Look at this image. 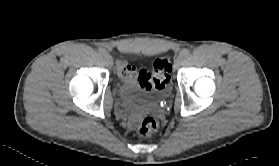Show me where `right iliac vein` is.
I'll return each instance as SVG.
<instances>
[{"label":"right iliac vein","mask_w":279,"mask_h":166,"mask_svg":"<svg viewBox=\"0 0 279 166\" xmlns=\"http://www.w3.org/2000/svg\"><path fill=\"white\" fill-rule=\"evenodd\" d=\"M104 59H105L107 66H109V67L113 66V58L111 57V55L105 54Z\"/></svg>","instance_id":"right-iliac-vein-1"}]
</instances>
